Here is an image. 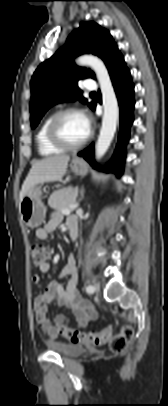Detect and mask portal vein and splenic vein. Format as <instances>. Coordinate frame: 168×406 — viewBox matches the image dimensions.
I'll list each match as a JSON object with an SVG mask.
<instances>
[{
  "instance_id": "1",
  "label": "portal vein and splenic vein",
  "mask_w": 168,
  "mask_h": 406,
  "mask_svg": "<svg viewBox=\"0 0 168 406\" xmlns=\"http://www.w3.org/2000/svg\"><path fill=\"white\" fill-rule=\"evenodd\" d=\"M78 205L77 204H74V205H71L69 208H67V209H63L62 210V213L63 214H70L71 213V211L74 209V208H76Z\"/></svg>"
}]
</instances>
